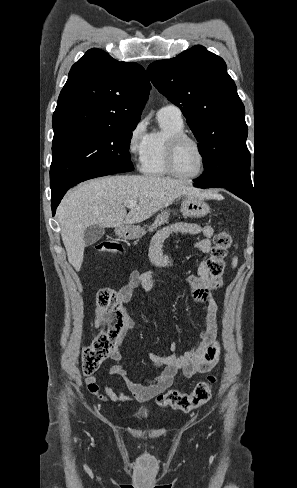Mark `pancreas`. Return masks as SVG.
<instances>
[{"label":"pancreas","instance_id":"cf45deb5","mask_svg":"<svg viewBox=\"0 0 297 488\" xmlns=\"http://www.w3.org/2000/svg\"><path fill=\"white\" fill-rule=\"evenodd\" d=\"M169 213H170V210L161 211L157 215L154 223L149 227V231L152 232L153 230H156L159 226L167 223L169 220Z\"/></svg>","mask_w":297,"mask_h":488}]
</instances>
